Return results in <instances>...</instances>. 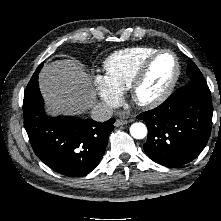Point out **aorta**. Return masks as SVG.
I'll return each instance as SVG.
<instances>
[{
    "mask_svg": "<svg viewBox=\"0 0 221 221\" xmlns=\"http://www.w3.org/2000/svg\"><path fill=\"white\" fill-rule=\"evenodd\" d=\"M130 134L135 139H143L147 135V127L141 122L133 123L130 126Z\"/></svg>",
    "mask_w": 221,
    "mask_h": 221,
    "instance_id": "obj_1",
    "label": "aorta"
}]
</instances>
